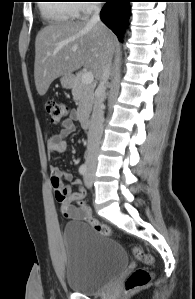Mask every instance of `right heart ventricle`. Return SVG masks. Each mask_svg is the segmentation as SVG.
Here are the masks:
<instances>
[{"instance_id":"obj_1","label":"right heart ventricle","mask_w":195,"mask_h":299,"mask_svg":"<svg viewBox=\"0 0 195 299\" xmlns=\"http://www.w3.org/2000/svg\"><path fill=\"white\" fill-rule=\"evenodd\" d=\"M41 7L43 17L52 24H63L75 17L76 4L70 1H49Z\"/></svg>"}]
</instances>
